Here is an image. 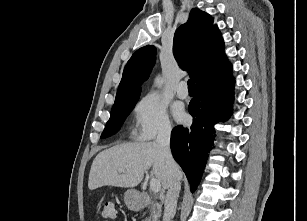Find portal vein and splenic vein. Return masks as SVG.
<instances>
[{
	"mask_svg": "<svg viewBox=\"0 0 307 221\" xmlns=\"http://www.w3.org/2000/svg\"><path fill=\"white\" fill-rule=\"evenodd\" d=\"M150 188L154 193H158L161 190V183L157 179L152 178L150 180Z\"/></svg>",
	"mask_w": 307,
	"mask_h": 221,
	"instance_id": "portal-vein-and-splenic-vein-1",
	"label": "portal vein and splenic vein"
}]
</instances>
